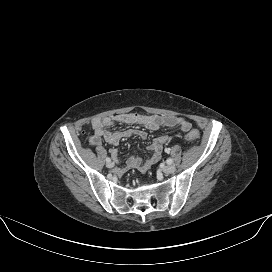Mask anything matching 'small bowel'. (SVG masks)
I'll use <instances>...</instances> for the list:
<instances>
[{
  "label": "small bowel",
  "mask_w": 272,
  "mask_h": 272,
  "mask_svg": "<svg viewBox=\"0 0 272 272\" xmlns=\"http://www.w3.org/2000/svg\"><path fill=\"white\" fill-rule=\"evenodd\" d=\"M114 123L140 125L149 130H158L160 127H179L182 131H188L191 128V124L188 120L181 116L175 115H142L136 113H124L114 116H106L102 118H95L91 121L93 128V135L90 137V143L93 145L101 144L102 140L111 145H118L120 140L124 137L137 136L141 139H145L146 132L138 129L127 130L123 132H111L106 128L111 127ZM168 141V136L162 135L155 139L151 144L149 150L151 156L146 160H142L136 156H130L125 165L118 169L123 172L128 169H138L141 172H146L153 164L161 159L163 145ZM112 156H117L116 151H112Z\"/></svg>",
  "instance_id": "c3829d8e"
}]
</instances>
